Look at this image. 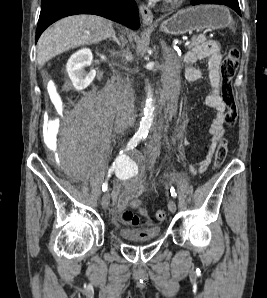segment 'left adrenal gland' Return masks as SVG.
Wrapping results in <instances>:
<instances>
[{
	"mask_svg": "<svg viewBox=\"0 0 267 298\" xmlns=\"http://www.w3.org/2000/svg\"><path fill=\"white\" fill-rule=\"evenodd\" d=\"M161 44H162L164 56L171 57L173 55V51L167 46L165 41H161Z\"/></svg>",
	"mask_w": 267,
	"mask_h": 298,
	"instance_id": "left-adrenal-gland-1",
	"label": "left adrenal gland"
}]
</instances>
